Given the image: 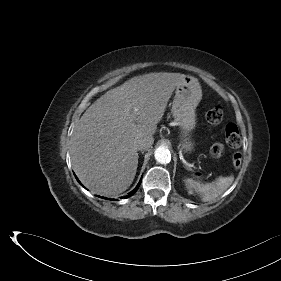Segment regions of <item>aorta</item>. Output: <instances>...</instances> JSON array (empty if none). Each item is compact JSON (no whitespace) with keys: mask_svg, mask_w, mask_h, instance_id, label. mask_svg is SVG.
Instances as JSON below:
<instances>
[{"mask_svg":"<svg viewBox=\"0 0 281 281\" xmlns=\"http://www.w3.org/2000/svg\"><path fill=\"white\" fill-rule=\"evenodd\" d=\"M154 156L157 162L161 164L167 163L171 159L170 151L165 147H161V146L155 150Z\"/></svg>","mask_w":281,"mask_h":281,"instance_id":"762f6f07","label":"aorta"}]
</instances>
